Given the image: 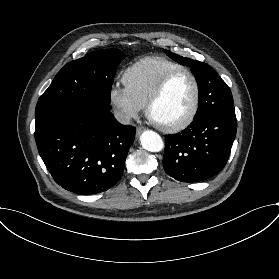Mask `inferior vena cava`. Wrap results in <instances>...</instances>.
<instances>
[{
  "label": "inferior vena cava",
  "mask_w": 279,
  "mask_h": 279,
  "mask_svg": "<svg viewBox=\"0 0 279 279\" xmlns=\"http://www.w3.org/2000/svg\"><path fill=\"white\" fill-rule=\"evenodd\" d=\"M113 114H114V117L116 118V120L119 122V123H121V124H123V125H128V124H130V116L129 115H127L126 113H124L123 111H120V110H115L114 112H113Z\"/></svg>",
  "instance_id": "obj_1"
}]
</instances>
